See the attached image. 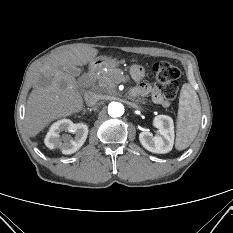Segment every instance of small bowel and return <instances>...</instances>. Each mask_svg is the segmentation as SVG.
<instances>
[{
    "instance_id": "1",
    "label": "small bowel",
    "mask_w": 233,
    "mask_h": 233,
    "mask_svg": "<svg viewBox=\"0 0 233 233\" xmlns=\"http://www.w3.org/2000/svg\"><path fill=\"white\" fill-rule=\"evenodd\" d=\"M131 76L136 81H141L144 77V69L140 65H134L131 68ZM151 94L154 103L167 107L169 102L165 100L161 93V88L157 85H149L147 83H140L134 90L133 95Z\"/></svg>"
}]
</instances>
